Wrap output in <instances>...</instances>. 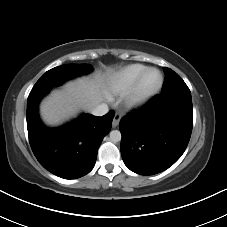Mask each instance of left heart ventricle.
I'll use <instances>...</instances> for the list:
<instances>
[{"mask_svg": "<svg viewBox=\"0 0 227 227\" xmlns=\"http://www.w3.org/2000/svg\"><path fill=\"white\" fill-rule=\"evenodd\" d=\"M159 82V74L156 71L147 73L142 82V90L149 91L153 89Z\"/></svg>", "mask_w": 227, "mask_h": 227, "instance_id": "obj_1", "label": "left heart ventricle"}]
</instances>
